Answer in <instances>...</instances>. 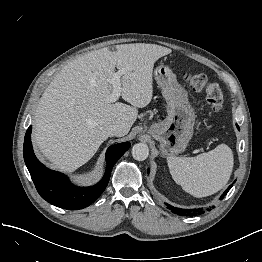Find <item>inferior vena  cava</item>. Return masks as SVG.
Listing matches in <instances>:
<instances>
[{
	"mask_svg": "<svg viewBox=\"0 0 262 262\" xmlns=\"http://www.w3.org/2000/svg\"><path fill=\"white\" fill-rule=\"evenodd\" d=\"M120 131V126L116 124H109L105 127V132L108 136H118Z\"/></svg>",
	"mask_w": 262,
	"mask_h": 262,
	"instance_id": "inferior-vena-cava-1",
	"label": "inferior vena cava"
}]
</instances>
